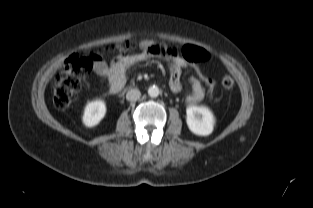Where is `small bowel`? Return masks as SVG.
Wrapping results in <instances>:
<instances>
[{"mask_svg": "<svg viewBox=\"0 0 313 208\" xmlns=\"http://www.w3.org/2000/svg\"><path fill=\"white\" fill-rule=\"evenodd\" d=\"M142 52L131 55L130 53L119 54L110 65L103 60H97L93 64L95 73L100 77L101 81H107L110 91L117 92L127 79V70L138 63L148 60L153 55L164 54L170 59V79L169 87L173 93H180L183 89L181 75L186 69L189 62L184 56H179L176 50L164 43H158L152 40H144L140 43ZM190 91L186 95V104L193 106L203 100L205 97V89L200 78L189 76Z\"/></svg>", "mask_w": 313, "mask_h": 208, "instance_id": "c3829d8e", "label": "small bowel"}]
</instances>
